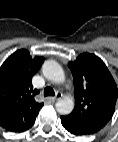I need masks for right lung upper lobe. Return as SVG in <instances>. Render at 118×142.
<instances>
[{"instance_id": "1", "label": "right lung upper lobe", "mask_w": 118, "mask_h": 142, "mask_svg": "<svg viewBox=\"0 0 118 142\" xmlns=\"http://www.w3.org/2000/svg\"><path fill=\"white\" fill-rule=\"evenodd\" d=\"M43 57L31 58L21 49L9 56L0 67V126L7 131L23 132L35 122L43 103L35 101L39 93L31 80Z\"/></svg>"}]
</instances>
